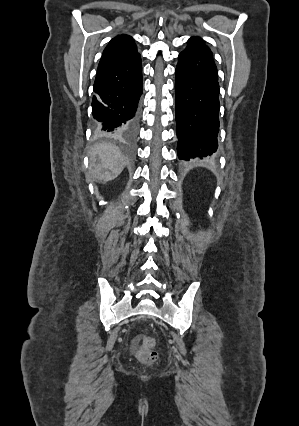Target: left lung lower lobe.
<instances>
[{
  "mask_svg": "<svg viewBox=\"0 0 299 426\" xmlns=\"http://www.w3.org/2000/svg\"><path fill=\"white\" fill-rule=\"evenodd\" d=\"M176 133L179 159L210 157L217 151L219 83L211 56L184 50L175 79Z\"/></svg>",
  "mask_w": 299,
  "mask_h": 426,
  "instance_id": "1",
  "label": "left lung lower lobe"
}]
</instances>
